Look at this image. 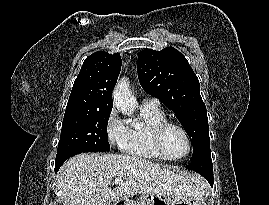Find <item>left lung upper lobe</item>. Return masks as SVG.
I'll use <instances>...</instances> for the list:
<instances>
[{"instance_id": "left-lung-upper-lobe-1", "label": "left lung upper lobe", "mask_w": 269, "mask_h": 205, "mask_svg": "<svg viewBox=\"0 0 269 205\" xmlns=\"http://www.w3.org/2000/svg\"><path fill=\"white\" fill-rule=\"evenodd\" d=\"M142 88L177 116L193 144L191 161L210 151L207 110L199 80L187 59L175 48L145 49L138 55Z\"/></svg>"}]
</instances>
